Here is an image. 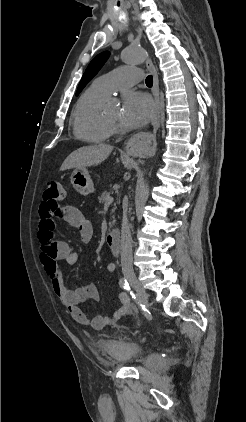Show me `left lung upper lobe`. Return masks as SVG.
<instances>
[{"instance_id":"5c2ea615","label":"left lung upper lobe","mask_w":246,"mask_h":422,"mask_svg":"<svg viewBox=\"0 0 246 422\" xmlns=\"http://www.w3.org/2000/svg\"><path fill=\"white\" fill-rule=\"evenodd\" d=\"M109 55L110 53L108 51L102 52L90 62L79 83L76 96L82 91L86 84L98 73V71L108 59Z\"/></svg>"}]
</instances>
